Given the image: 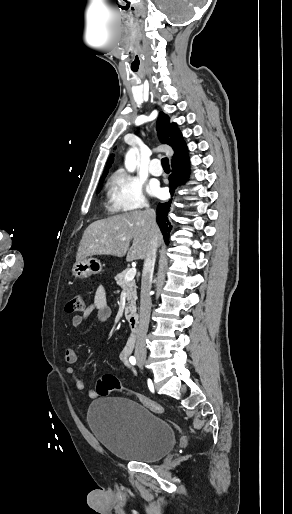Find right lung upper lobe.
<instances>
[{"label":"right lung upper lobe","mask_w":292,"mask_h":514,"mask_svg":"<svg viewBox=\"0 0 292 514\" xmlns=\"http://www.w3.org/2000/svg\"><path fill=\"white\" fill-rule=\"evenodd\" d=\"M157 133L161 143L168 144L174 150L172 162L187 155V146L183 140L180 130L177 128L176 124L170 123V118L163 112H160L159 118L157 120ZM113 161L114 155L112 154L107 161L106 168L100 181L104 180L106 177Z\"/></svg>","instance_id":"right-lung-upper-lobe-1"}]
</instances>
